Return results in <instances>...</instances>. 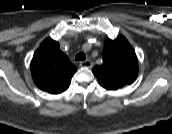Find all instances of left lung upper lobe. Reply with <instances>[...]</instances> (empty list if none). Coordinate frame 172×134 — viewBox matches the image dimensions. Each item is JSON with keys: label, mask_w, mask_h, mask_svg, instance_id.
Returning a JSON list of instances; mask_svg holds the SVG:
<instances>
[{"label": "left lung upper lobe", "mask_w": 172, "mask_h": 134, "mask_svg": "<svg viewBox=\"0 0 172 134\" xmlns=\"http://www.w3.org/2000/svg\"><path fill=\"white\" fill-rule=\"evenodd\" d=\"M99 84L108 90H117L135 81L138 75V59L124 36L106 39L103 64L92 69Z\"/></svg>", "instance_id": "1"}]
</instances>
